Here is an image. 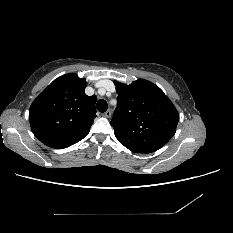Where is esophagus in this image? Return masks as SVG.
Wrapping results in <instances>:
<instances>
[{
  "mask_svg": "<svg viewBox=\"0 0 233 233\" xmlns=\"http://www.w3.org/2000/svg\"><path fill=\"white\" fill-rule=\"evenodd\" d=\"M111 115H112L111 110H107L105 113H103V116L106 117V118H110Z\"/></svg>",
  "mask_w": 233,
  "mask_h": 233,
  "instance_id": "34e87169",
  "label": "esophagus"
}]
</instances>
